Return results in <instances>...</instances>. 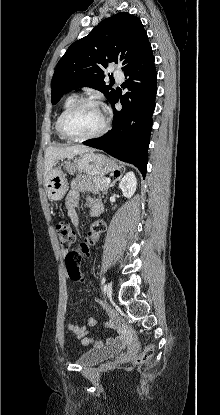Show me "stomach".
Masks as SVG:
<instances>
[{
    "instance_id": "stomach-1",
    "label": "stomach",
    "mask_w": 220,
    "mask_h": 415,
    "mask_svg": "<svg viewBox=\"0 0 220 415\" xmlns=\"http://www.w3.org/2000/svg\"><path fill=\"white\" fill-rule=\"evenodd\" d=\"M65 167L69 173L78 170L93 176H103L120 169L112 159L93 151L80 154L73 162H66ZM45 188L49 199L61 200L68 190L66 174L53 168L46 177Z\"/></svg>"
}]
</instances>
